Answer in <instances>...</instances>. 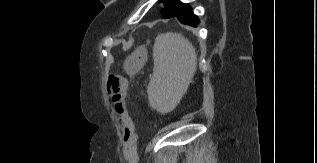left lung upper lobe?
Returning a JSON list of instances; mask_svg holds the SVG:
<instances>
[{
  "mask_svg": "<svg viewBox=\"0 0 317 163\" xmlns=\"http://www.w3.org/2000/svg\"><path fill=\"white\" fill-rule=\"evenodd\" d=\"M164 2L165 8L162 10V15L164 18L173 16L177 13L179 8L183 5L179 0H160Z\"/></svg>",
  "mask_w": 317,
  "mask_h": 163,
  "instance_id": "left-lung-upper-lobe-1",
  "label": "left lung upper lobe"
}]
</instances>
